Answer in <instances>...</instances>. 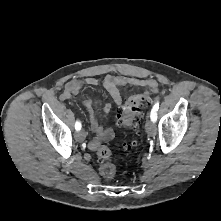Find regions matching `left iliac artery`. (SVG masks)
I'll list each match as a JSON object with an SVG mask.
<instances>
[{
	"mask_svg": "<svg viewBox=\"0 0 221 221\" xmlns=\"http://www.w3.org/2000/svg\"><path fill=\"white\" fill-rule=\"evenodd\" d=\"M159 108V102H155V104L153 105L152 109H151V113H150V118L153 122H156L157 120V111Z\"/></svg>",
	"mask_w": 221,
	"mask_h": 221,
	"instance_id": "obj_1",
	"label": "left iliac artery"
}]
</instances>
